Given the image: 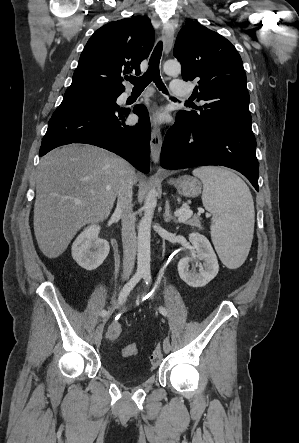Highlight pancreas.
I'll return each instance as SVG.
<instances>
[{
  "label": "pancreas",
  "instance_id": "pancreas-1",
  "mask_svg": "<svg viewBox=\"0 0 299 443\" xmlns=\"http://www.w3.org/2000/svg\"><path fill=\"white\" fill-rule=\"evenodd\" d=\"M188 225L193 226V227H198V228H202L201 227V222L198 218H192L189 221L186 222Z\"/></svg>",
  "mask_w": 299,
  "mask_h": 443
}]
</instances>
